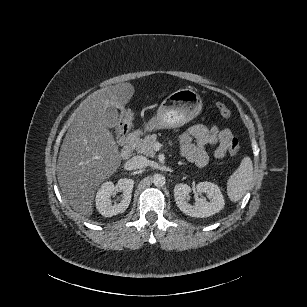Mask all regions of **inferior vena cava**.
<instances>
[{"mask_svg": "<svg viewBox=\"0 0 307 307\" xmlns=\"http://www.w3.org/2000/svg\"><path fill=\"white\" fill-rule=\"evenodd\" d=\"M149 164V160L144 156H134L131 159V165L134 168L141 169Z\"/></svg>", "mask_w": 307, "mask_h": 307, "instance_id": "obj_1", "label": "inferior vena cava"}]
</instances>
